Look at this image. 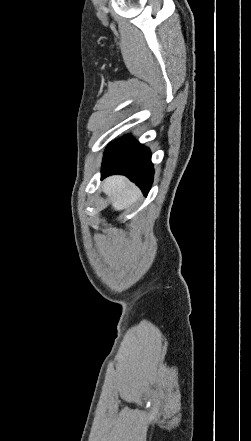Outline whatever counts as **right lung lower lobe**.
Listing matches in <instances>:
<instances>
[{"instance_id":"1","label":"right lung lower lobe","mask_w":251,"mask_h":441,"mask_svg":"<svg viewBox=\"0 0 251 441\" xmlns=\"http://www.w3.org/2000/svg\"><path fill=\"white\" fill-rule=\"evenodd\" d=\"M101 173L102 178L112 174L126 175L147 195L154 174L151 152L131 135H126L107 147Z\"/></svg>"}]
</instances>
